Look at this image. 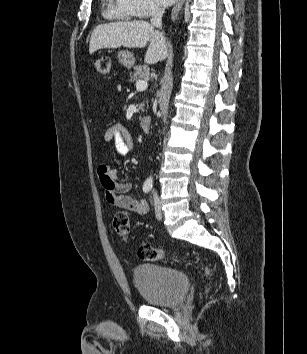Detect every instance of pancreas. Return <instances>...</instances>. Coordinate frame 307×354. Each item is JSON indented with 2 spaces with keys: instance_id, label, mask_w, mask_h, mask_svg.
<instances>
[{
  "instance_id": "1",
  "label": "pancreas",
  "mask_w": 307,
  "mask_h": 354,
  "mask_svg": "<svg viewBox=\"0 0 307 354\" xmlns=\"http://www.w3.org/2000/svg\"><path fill=\"white\" fill-rule=\"evenodd\" d=\"M149 78V68L146 65H139L134 67V71L130 74V81H139ZM144 104L141 105L143 109Z\"/></svg>"
}]
</instances>
